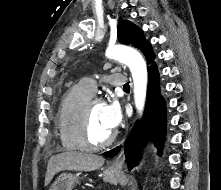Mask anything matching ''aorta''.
<instances>
[{
	"instance_id": "aorta-1",
	"label": "aorta",
	"mask_w": 221,
	"mask_h": 190,
	"mask_svg": "<svg viewBox=\"0 0 221 190\" xmlns=\"http://www.w3.org/2000/svg\"><path fill=\"white\" fill-rule=\"evenodd\" d=\"M106 56L110 59H116L130 68L134 84L135 105L141 115L144 109L147 88V67L144 59L138 51L124 45L108 47Z\"/></svg>"
}]
</instances>
